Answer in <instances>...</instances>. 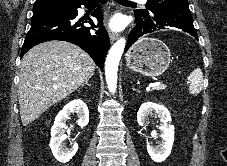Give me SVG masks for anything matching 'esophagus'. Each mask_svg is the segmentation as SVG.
I'll use <instances>...</instances> for the list:
<instances>
[{
  "label": "esophagus",
  "mask_w": 227,
  "mask_h": 166,
  "mask_svg": "<svg viewBox=\"0 0 227 166\" xmlns=\"http://www.w3.org/2000/svg\"><path fill=\"white\" fill-rule=\"evenodd\" d=\"M119 37V34L117 32L110 31L109 32V38L111 42H114Z\"/></svg>",
  "instance_id": "obj_1"
}]
</instances>
